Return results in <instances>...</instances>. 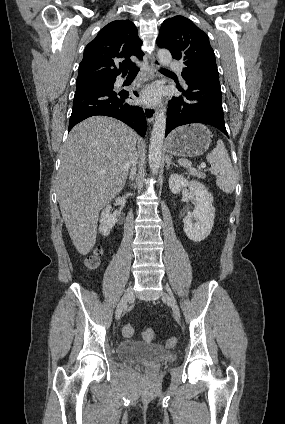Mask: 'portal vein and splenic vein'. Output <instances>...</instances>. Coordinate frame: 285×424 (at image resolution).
Wrapping results in <instances>:
<instances>
[{
    "mask_svg": "<svg viewBox=\"0 0 285 424\" xmlns=\"http://www.w3.org/2000/svg\"><path fill=\"white\" fill-rule=\"evenodd\" d=\"M206 167V164L205 163H202L201 164V168H205Z\"/></svg>",
    "mask_w": 285,
    "mask_h": 424,
    "instance_id": "portal-vein-and-splenic-vein-1",
    "label": "portal vein and splenic vein"
}]
</instances>
